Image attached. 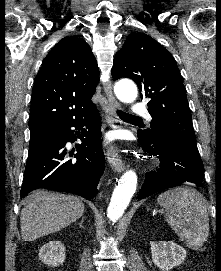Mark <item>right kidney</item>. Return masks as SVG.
I'll return each mask as SVG.
<instances>
[{
    "mask_svg": "<svg viewBox=\"0 0 221 271\" xmlns=\"http://www.w3.org/2000/svg\"><path fill=\"white\" fill-rule=\"evenodd\" d=\"M66 247L62 241H48L41 245L39 249V259L51 267H57L60 263H63L66 257Z\"/></svg>",
    "mask_w": 221,
    "mask_h": 271,
    "instance_id": "right-kidney-1",
    "label": "right kidney"
}]
</instances>
